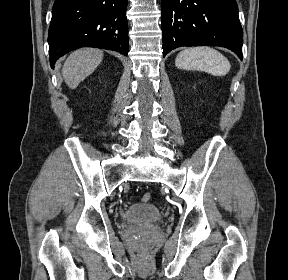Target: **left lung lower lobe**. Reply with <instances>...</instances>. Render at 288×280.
I'll return each mask as SVG.
<instances>
[{
  "label": "left lung lower lobe",
  "mask_w": 288,
  "mask_h": 280,
  "mask_svg": "<svg viewBox=\"0 0 288 280\" xmlns=\"http://www.w3.org/2000/svg\"><path fill=\"white\" fill-rule=\"evenodd\" d=\"M163 57L181 46H221L242 60L235 0H162Z\"/></svg>",
  "instance_id": "1"
}]
</instances>
